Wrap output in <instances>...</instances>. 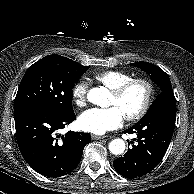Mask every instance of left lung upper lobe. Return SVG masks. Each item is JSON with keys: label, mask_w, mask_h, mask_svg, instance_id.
<instances>
[{"label": "left lung upper lobe", "mask_w": 194, "mask_h": 194, "mask_svg": "<svg viewBox=\"0 0 194 194\" xmlns=\"http://www.w3.org/2000/svg\"><path fill=\"white\" fill-rule=\"evenodd\" d=\"M130 65L139 67L143 71H145L148 75H150L152 81L157 84L161 89L160 94L157 95L155 101L153 102L148 111L161 105L171 103L176 104L169 76L160 67L143 61L131 63Z\"/></svg>", "instance_id": "1"}]
</instances>
